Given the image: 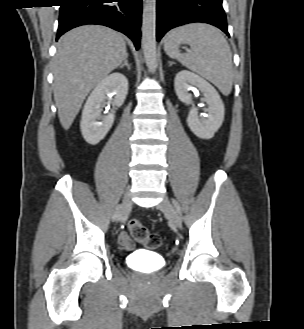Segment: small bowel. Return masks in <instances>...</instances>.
<instances>
[{
  "label": "small bowel",
  "instance_id": "c3829d8e",
  "mask_svg": "<svg viewBox=\"0 0 304 329\" xmlns=\"http://www.w3.org/2000/svg\"><path fill=\"white\" fill-rule=\"evenodd\" d=\"M119 243L125 250H133L134 249V243L130 240L127 234L121 233L119 235Z\"/></svg>",
  "mask_w": 304,
  "mask_h": 329
}]
</instances>
